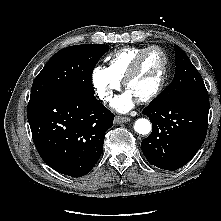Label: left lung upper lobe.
Listing matches in <instances>:
<instances>
[{"instance_id": "5c2ea615", "label": "left lung upper lobe", "mask_w": 221, "mask_h": 221, "mask_svg": "<svg viewBox=\"0 0 221 221\" xmlns=\"http://www.w3.org/2000/svg\"><path fill=\"white\" fill-rule=\"evenodd\" d=\"M175 48L176 71L173 81L151 103H161L184 97L208 98L203 79L187 55L177 45Z\"/></svg>"}]
</instances>
